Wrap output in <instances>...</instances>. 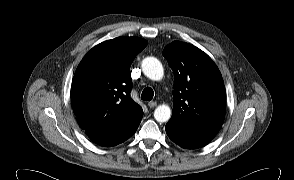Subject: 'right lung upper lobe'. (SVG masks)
I'll return each mask as SVG.
<instances>
[{
    "label": "right lung upper lobe",
    "mask_w": 294,
    "mask_h": 180,
    "mask_svg": "<svg viewBox=\"0 0 294 180\" xmlns=\"http://www.w3.org/2000/svg\"><path fill=\"white\" fill-rule=\"evenodd\" d=\"M146 45L138 37H117L96 45L80 62L72 81L71 103L89 137L117 131L142 110L130 97V66Z\"/></svg>",
    "instance_id": "obj_1"
}]
</instances>
